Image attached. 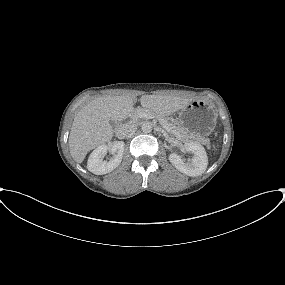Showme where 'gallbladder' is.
<instances>
[{"mask_svg": "<svg viewBox=\"0 0 285 285\" xmlns=\"http://www.w3.org/2000/svg\"><path fill=\"white\" fill-rule=\"evenodd\" d=\"M110 124H111V126H115V122H113V121H110Z\"/></svg>", "mask_w": 285, "mask_h": 285, "instance_id": "bac80fb5", "label": "gallbladder"}]
</instances>
